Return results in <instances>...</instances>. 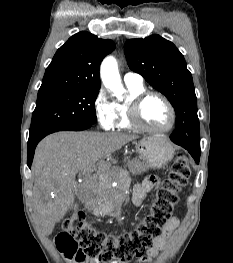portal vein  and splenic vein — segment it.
Returning <instances> with one entry per match:
<instances>
[{
	"label": "portal vein and splenic vein",
	"mask_w": 233,
	"mask_h": 263,
	"mask_svg": "<svg viewBox=\"0 0 233 263\" xmlns=\"http://www.w3.org/2000/svg\"><path fill=\"white\" fill-rule=\"evenodd\" d=\"M95 168H92L89 171L83 172L84 173V178L87 180V182H91L92 181V177H91V172L94 170Z\"/></svg>",
	"instance_id": "18ae733b"
}]
</instances>
